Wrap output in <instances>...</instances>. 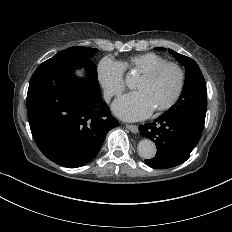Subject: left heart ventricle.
<instances>
[{"label": "left heart ventricle", "instance_id": "left-heart-ventricle-1", "mask_svg": "<svg viewBox=\"0 0 232 232\" xmlns=\"http://www.w3.org/2000/svg\"><path fill=\"white\" fill-rule=\"evenodd\" d=\"M179 83L180 75L177 69L169 66L161 70L150 81H144L139 77L132 88L142 92L154 110H157L172 99Z\"/></svg>", "mask_w": 232, "mask_h": 232}]
</instances>
